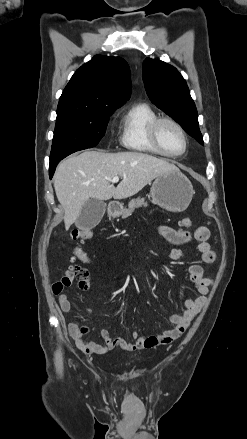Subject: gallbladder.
<instances>
[{
    "label": "gallbladder",
    "instance_id": "bac80fb5",
    "mask_svg": "<svg viewBox=\"0 0 247 439\" xmlns=\"http://www.w3.org/2000/svg\"><path fill=\"white\" fill-rule=\"evenodd\" d=\"M106 210V203L98 199H89L82 207L75 225L79 229H92L99 224Z\"/></svg>",
    "mask_w": 247,
    "mask_h": 439
}]
</instances>
